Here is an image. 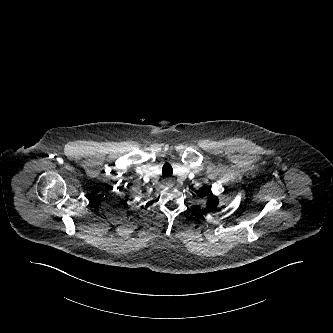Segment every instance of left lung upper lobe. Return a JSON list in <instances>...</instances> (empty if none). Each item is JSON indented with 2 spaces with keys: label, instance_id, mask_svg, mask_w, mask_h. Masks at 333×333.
<instances>
[{
  "label": "left lung upper lobe",
  "instance_id": "1",
  "mask_svg": "<svg viewBox=\"0 0 333 333\" xmlns=\"http://www.w3.org/2000/svg\"><path fill=\"white\" fill-rule=\"evenodd\" d=\"M204 194L206 196H210V198L207 201V208L211 210L215 209L216 206L218 205V199L216 196H212L211 188L210 187L205 188Z\"/></svg>",
  "mask_w": 333,
  "mask_h": 333
}]
</instances>
